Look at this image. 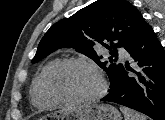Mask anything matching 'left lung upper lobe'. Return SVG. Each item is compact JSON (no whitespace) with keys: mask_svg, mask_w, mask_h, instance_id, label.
<instances>
[{"mask_svg":"<svg viewBox=\"0 0 165 120\" xmlns=\"http://www.w3.org/2000/svg\"><path fill=\"white\" fill-rule=\"evenodd\" d=\"M143 22L142 15L129 1L98 0L52 25L40 41L32 63L61 47L74 48L107 72L110 91H113L122 70V64L116 62V47L125 48ZM101 45L110 51V63L100 61L102 56L97 55L96 49Z\"/></svg>","mask_w":165,"mask_h":120,"instance_id":"1","label":"left lung upper lobe"}]
</instances>
